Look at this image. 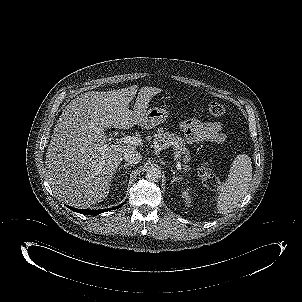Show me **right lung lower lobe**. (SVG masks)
<instances>
[{"label":"right lung lower lobe","mask_w":302,"mask_h":302,"mask_svg":"<svg viewBox=\"0 0 302 302\" xmlns=\"http://www.w3.org/2000/svg\"><path fill=\"white\" fill-rule=\"evenodd\" d=\"M125 203V202H124ZM120 204L114 208H111V209H101V210H87V209H77V208H72L70 206H67L69 209L73 210L74 212H77V213H81V214H85V215H97V214H100V213H103V212H106L108 210H114V209H118L120 208L121 206H123V204Z\"/></svg>","instance_id":"obj_1"}]
</instances>
